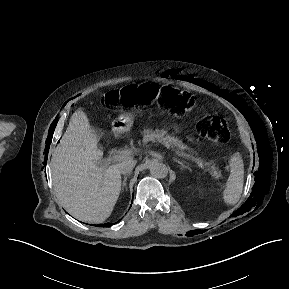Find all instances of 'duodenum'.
I'll return each instance as SVG.
<instances>
[{
    "instance_id": "410a0bca",
    "label": "duodenum",
    "mask_w": 289,
    "mask_h": 289,
    "mask_svg": "<svg viewBox=\"0 0 289 289\" xmlns=\"http://www.w3.org/2000/svg\"><path fill=\"white\" fill-rule=\"evenodd\" d=\"M114 134L116 136H119L121 134V130L120 129H115Z\"/></svg>"
}]
</instances>
